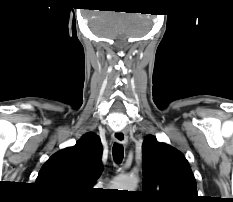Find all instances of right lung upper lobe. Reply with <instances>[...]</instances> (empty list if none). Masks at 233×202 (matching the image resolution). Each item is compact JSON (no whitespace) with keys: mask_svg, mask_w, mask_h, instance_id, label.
Wrapping results in <instances>:
<instances>
[{"mask_svg":"<svg viewBox=\"0 0 233 202\" xmlns=\"http://www.w3.org/2000/svg\"><path fill=\"white\" fill-rule=\"evenodd\" d=\"M103 147L93 133L84 135L74 147L54 154L42 167L36 183L59 196H81L91 189L101 172Z\"/></svg>","mask_w":233,"mask_h":202,"instance_id":"obj_1","label":"right lung upper lobe"}]
</instances>
